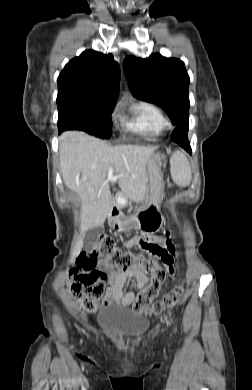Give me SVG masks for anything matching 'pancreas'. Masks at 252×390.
<instances>
[{
  "label": "pancreas",
  "instance_id": "pancreas-1",
  "mask_svg": "<svg viewBox=\"0 0 252 390\" xmlns=\"http://www.w3.org/2000/svg\"><path fill=\"white\" fill-rule=\"evenodd\" d=\"M124 197V195H121L119 194L117 197H116V201H117V204L118 205H123V206H126L128 205L127 207V210L128 211H131V210H138V207H136L135 205H139V202H135V201H123V202H119V199H122ZM132 205V206H131Z\"/></svg>",
  "mask_w": 252,
  "mask_h": 390
}]
</instances>
